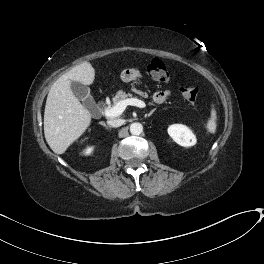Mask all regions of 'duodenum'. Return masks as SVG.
<instances>
[{"label":"duodenum","mask_w":264,"mask_h":264,"mask_svg":"<svg viewBox=\"0 0 264 264\" xmlns=\"http://www.w3.org/2000/svg\"><path fill=\"white\" fill-rule=\"evenodd\" d=\"M97 106H98L99 109H102L103 108V105L100 102L97 103Z\"/></svg>","instance_id":"410a0bca"}]
</instances>
